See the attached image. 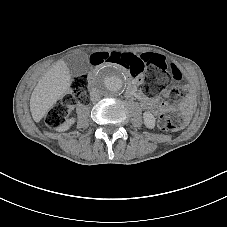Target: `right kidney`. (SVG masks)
Returning a JSON list of instances; mask_svg holds the SVG:
<instances>
[{
	"instance_id": "right-kidney-1",
	"label": "right kidney",
	"mask_w": 227,
	"mask_h": 227,
	"mask_svg": "<svg viewBox=\"0 0 227 227\" xmlns=\"http://www.w3.org/2000/svg\"><path fill=\"white\" fill-rule=\"evenodd\" d=\"M71 123V121H67L59 130H65L69 127V124Z\"/></svg>"
}]
</instances>
